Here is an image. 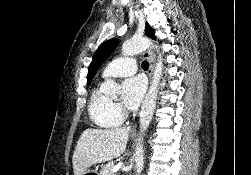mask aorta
I'll use <instances>...</instances> for the list:
<instances>
[{
  "label": "aorta",
  "instance_id": "obj_1",
  "mask_svg": "<svg viewBox=\"0 0 251 175\" xmlns=\"http://www.w3.org/2000/svg\"><path fill=\"white\" fill-rule=\"evenodd\" d=\"M154 48V50H157L158 46H153L152 42L150 40H146V38H131V40H127V42H124L122 46V54L123 56H135V54H140V52H144L146 48ZM157 60L156 64L153 68V76L151 80V84L149 86V89L146 93V97L142 103L141 111L139 113L140 115V133L139 137L137 139L136 147H135V169H136V175H139L141 173L144 165V149H143V131L147 129L154 113V109L156 107V99L158 95V86L160 84V78L162 76L163 72V62H162V56L157 50ZM102 91L104 93H116L118 86L113 82V80H106L104 84L101 86Z\"/></svg>",
  "mask_w": 251,
  "mask_h": 175
}]
</instances>
